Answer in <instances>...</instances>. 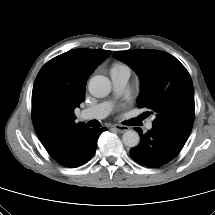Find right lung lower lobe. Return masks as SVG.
Segmentation results:
<instances>
[{"mask_svg": "<svg viewBox=\"0 0 215 215\" xmlns=\"http://www.w3.org/2000/svg\"><path fill=\"white\" fill-rule=\"evenodd\" d=\"M105 130L106 128H89L81 133L76 138V142L72 148L70 157L60 164L66 167L75 168L87 163L93 157L96 151L97 140L100 134Z\"/></svg>", "mask_w": 215, "mask_h": 215, "instance_id": "1", "label": "right lung lower lobe"}]
</instances>
